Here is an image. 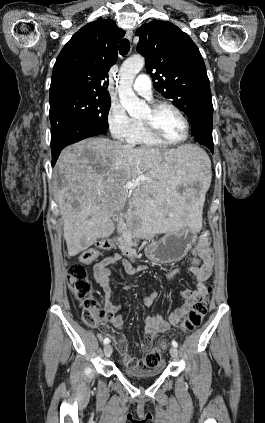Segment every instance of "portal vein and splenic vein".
<instances>
[{
	"instance_id": "portal-vein-and-splenic-vein-1",
	"label": "portal vein and splenic vein",
	"mask_w": 265,
	"mask_h": 423,
	"mask_svg": "<svg viewBox=\"0 0 265 423\" xmlns=\"http://www.w3.org/2000/svg\"><path fill=\"white\" fill-rule=\"evenodd\" d=\"M137 185H138V182H137V181H130V182H127V183L125 184V188H126L127 190H132V189H134Z\"/></svg>"
}]
</instances>
